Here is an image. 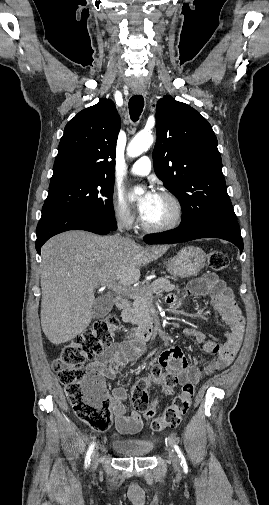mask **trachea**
<instances>
[{
  "label": "trachea",
  "mask_w": 269,
  "mask_h": 505,
  "mask_svg": "<svg viewBox=\"0 0 269 505\" xmlns=\"http://www.w3.org/2000/svg\"><path fill=\"white\" fill-rule=\"evenodd\" d=\"M144 98L142 95H134L129 100V113L131 120L136 122L143 111Z\"/></svg>",
  "instance_id": "trachea-1"
}]
</instances>
